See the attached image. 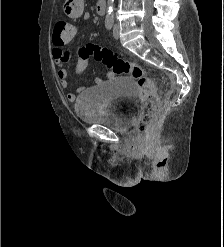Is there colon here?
Wrapping results in <instances>:
<instances>
[{
  "label": "colon",
  "instance_id": "5ec220e1",
  "mask_svg": "<svg viewBox=\"0 0 224 247\" xmlns=\"http://www.w3.org/2000/svg\"><path fill=\"white\" fill-rule=\"evenodd\" d=\"M77 35V28L64 19H57L53 27V39L61 42H70ZM77 56L82 63L93 58L114 74H129L137 82L143 101L142 115L137 123L138 133H144L155 117L157 106V90L154 81L145 73L143 68L134 63L119 58L110 49L98 45L88 44L77 51Z\"/></svg>",
  "mask_w": 224,
  "mask_h": 247
}]
</instances>
